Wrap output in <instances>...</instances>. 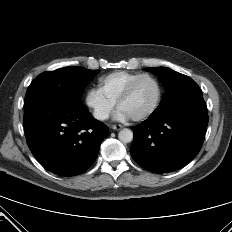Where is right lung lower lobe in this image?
<instances>
[{"label":"right lung lower lobe","mask_w":232,"mask_h":232,"mask_svg":"<svg viewBox=\"0 0 232 232\" xmlns=\"http://www.w3.org/2000/svg\"><path fill=\"white\" fill-rule=\"evenodd\" d=\"M24 108L28 146L46 169L75 176L94 163L109 130L81 102L41 100Z\"/></svg>","instance_id":"98d812e1"}]
</instances>
